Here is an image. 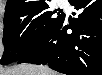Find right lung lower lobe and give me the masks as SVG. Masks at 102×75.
I'll return each instance as SVG.
<instances>
[{"instance_id": "right-lung-lower-lobe-1", "label": "right lung lower lobe", "mask_w": 102, "mask_h": 75, "mask_svg": "<svg viewBox=\"0 0 102 75\" xmlns=\"http://www.w3.org/2000/svg\"><path fill=\"white\" fill-rule=\"evenodd\" d=\"M69 2L82 10L78 18L71 23L64 15L47 39L18 64H48L67 75H102V0Z\"/></svg>"}]
</instances>
